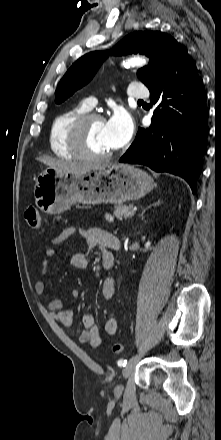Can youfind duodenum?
<instances>
[{
	"instance_id": "410a0bca",
	"label": "duodenum",
	"mask_w": 221,
	"mask_h": 440,
	"mask_svg": "<svg viewBox=\"0 0 221 440\" xmlns=\"http://www.w3.org/2000/svg\"><path fill=\"white\" fill-rule=\"evenodd\" d=\"M110 246H111L112 249H115V250L119 249V248H120V242H119V240L115 238V239L110 243ZM103 264H104V267H105L106 269H111V268L113 267V265H114V259H113V258H107V259L104 261Z\"/></svg>"
}]
</instances>
